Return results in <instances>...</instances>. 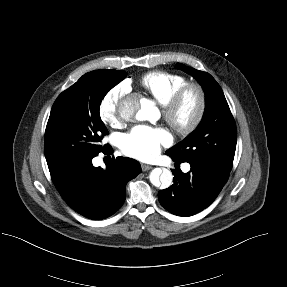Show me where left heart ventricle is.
Returning a JSON list of instances; mask_svg holds the SVG:
<instances>
[{"label": "left heart ventricle", "instance_id": "1", "mask_svg": "<svg viewBox=\"0 0 287 287\" xmlns=\"http://www.w3.org/2000/svg\"><path fill=\"white\" fill-rule=\"evenodd\" d=\"M196 107H197V99L195 95L191 94L187 97L183 106L181 107L177 116V120L180 123H187L188 121H190L193 115L195 114Z\"/></svg>", "mask_w": 287, "mask_h": 287}]
</instances>
